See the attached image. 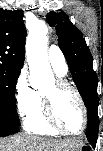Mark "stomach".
<instances>
[{"instance_id": "1", "label": "stomach", "mask_w": 103, "mask_h": 151, "mask_svg": "<svg viewBox=\"0 0 103 151\" xmlns=\"http://www.w3.org/2000/svg\"><path fill=\"white\" fill-rule=\"evenodd\" d=\"M84 148L85 147L83 146V144L80 143V144H76L75 146H72V147L64 148L61 151H82Z\"/></svg>"}]
</instances>
